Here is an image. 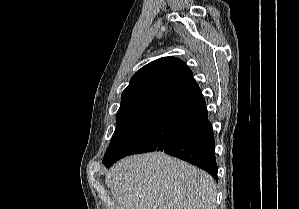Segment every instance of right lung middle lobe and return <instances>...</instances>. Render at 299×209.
<instances>
[{"label": "right lung middle lobe", "mask_w": 299, "mask_h": 209, "mask_svg": "<svg viewBox=\"0 0 299 209\" xmlns=\"http://www.w3.org/2000/svg\"><path fill=\"white\" fill-rule=\"evenodd\" d=\"M158 106V103L153 102L120 106L116 116V129L104 155L103 163L113 159L125 147Z\"/></svg>", "instance_id": "obj_1"}]
</instances>
